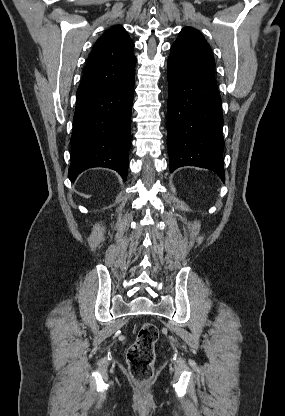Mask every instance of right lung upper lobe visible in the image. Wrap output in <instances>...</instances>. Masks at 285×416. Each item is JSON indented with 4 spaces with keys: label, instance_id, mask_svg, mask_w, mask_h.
<instances>
[{
    "label": "right lung upper lobe",
    "instance_id": "right-lung-upper-lobe-1",
    "mask_svg": "<svg viewBox=\"0 0 285 416\" xmlns=\"http://www.w3.org/2000/svg\"><path fill=\"white\" fill-rule=\"evenodd\" d=\"M133 48L134 43L123 27L107 30L88 57L77 98L107 89L134 73Z\"/></svg>",
    "mask_w": 285,
    "mask_h": 416
}]
</instances>
